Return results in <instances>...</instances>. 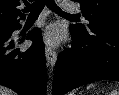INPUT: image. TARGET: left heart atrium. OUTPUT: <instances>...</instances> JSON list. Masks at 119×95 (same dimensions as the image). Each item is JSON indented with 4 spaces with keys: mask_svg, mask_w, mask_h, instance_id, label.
<instances>
[{
    "mask_svg": "<svg viewBox=\"0 0 119 95\" xmlns=\"http://www.w3.org/2000/svg\"><path fill=\"white\" fill-rule=\"evenodd\" d=\"M43 39L46 44L56 46L61 39V29L57 25H51L43 33Z\"/></svg>",
    "mask_w": 119,
    "mask_h": 95,
    "instance_id": "obj_1",
    "label": "left heart atrium"
}]
</instances>
